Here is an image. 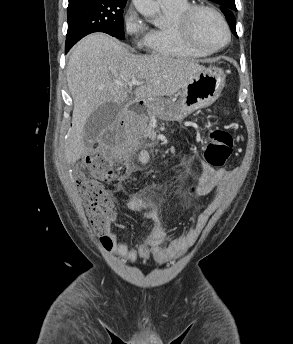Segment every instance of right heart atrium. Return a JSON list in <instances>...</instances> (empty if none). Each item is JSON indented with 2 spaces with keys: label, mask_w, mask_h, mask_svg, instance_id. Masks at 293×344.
I'll return each instance as SVG.
<instances>
[{
  "label": "right heart atrium",
  "mask_w": 293,
  "mask_h": 344,
  "mask_svg": "<svg viewBox=\"0 0 293 344\" xmlns=\"http://www.w3.org/2000/svg\"><path fill=\"white\" fill-rule=\"evenodd\" d=\"M122 22L125 34L132 39L138 48L144 47L148 27L133 7H129L125 11Z\"/></svg>",
  "instance_id": "1"
}]
</instances>
